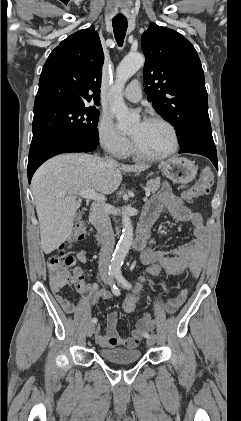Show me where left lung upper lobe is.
I'll list each match as a JSON object with an SVG mask.
<instances>
[{"label": "left lung upper lobe", "mask_w": 241, "mask_h": 421, "mask_svg": "<svg viewBox=\"0 0 241 421\" xmlns=\"http://www.w3.org/2000/svg\"><path fill=\"white\" fill-rule=\"evenodd\" d=\"M141 41L145 92L157 113L175 127L180 146L211 132L204 72L193 45L155 23Z\"/></svg>", "instance_id": "5c2ea615"}]
</instances>
